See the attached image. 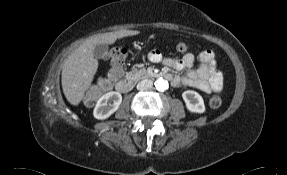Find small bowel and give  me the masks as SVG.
<instances>
[{"label": "small bowel", "instance_id": "obj_1", "mask_svg": "<svg viewBox=\"0 0 287 175\" xmlns=\"http://www.w3.org/2000/svg\"><path fill=\"white\" fill-rule=\"evenodd\" d=\"M200 59L201 63L197 66L195 70H187L184 74L177 75L173 78L174 84L176 86L186 85L194 86L205 91L209 90V83L207 82V77L210 72V69L207 65L209 55L207 53H202L200 55ZM161 61L167 69L180 72L193 65L195 62V58L189 55L181 61L171 58L162 59Z\"/></svg>", "mask_w": 287, "mask_h": 175}]
</instances>
